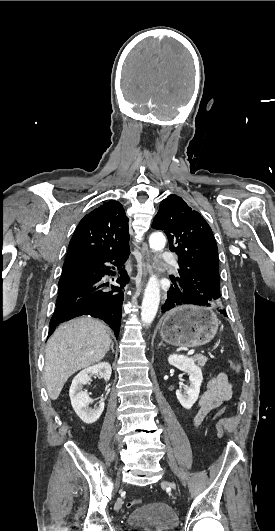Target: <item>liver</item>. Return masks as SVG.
I'll list each match as a JSON object with an SVG mask.
<instances>
[{
    "mask_svg": "<svg viewBox=\"0 0 275 531\" xmlns=\"http://www.w3.org/2000/svg\"><path fill=\"white\" fill-rule=\"evenodd\" d=\"M110 343L105 325L92 317L60 325L46 345L44 379L50 399H58L71 375L102 361Z\"/></svg>",
    "mask_w": 275,
    "mask_h": 531,
    "instance_id": "liver-1",
    "label": "liver"
}]
</instances>
